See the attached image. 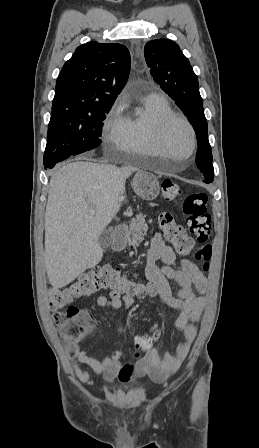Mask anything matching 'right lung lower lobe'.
Wrapping results in <instances>:
<instances>
[{
	"label": "right lung lower lobe",
	"instance_id": "obj_1",
	"mask_svg": "<svg viewBox=\"0 0 259 448\" xmlns=\"http://www.w3.org/2000/svg\"><path fill=\"white\" fill-rule=\"evenodd\" d=\"M55 165H56V164H50V165L45 166V168H46V169H51V168H53Z\"/></svg>",
	"mask_w": 259,
	"mask_h": 448
}]
</instances>
